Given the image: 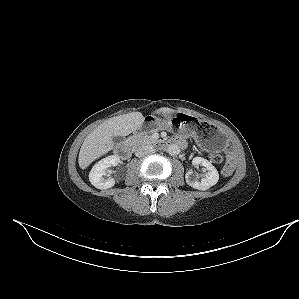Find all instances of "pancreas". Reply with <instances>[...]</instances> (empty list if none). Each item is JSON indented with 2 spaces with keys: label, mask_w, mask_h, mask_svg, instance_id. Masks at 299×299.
Returning a JSON list of instances; mask_svg holds the SVG:
<instances>
[{
  "label": "pancreas",
  "mask_w": 299,
  "mask_h": 299,
  "mask_svg": "<svg viewBox=\"0 0 299 299\" xmlns=\"http://www.w3.org/2000/svg\"><path fill=\"white\" fill-rule=\"evenodd\" d=\"M128 141L134 145V146H138L141 144H151L154 143V139L152 138L151 135L145 133V134H134L133 136H131Z\"/></svg>",
  "instance_id": "obj_1"
}]
</instances>
